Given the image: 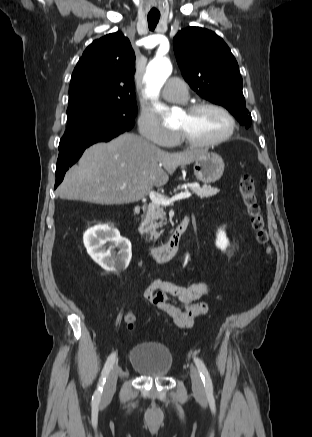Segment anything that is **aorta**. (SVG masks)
<instances>
[{
  "label": "aorta",
  "mask_w": 312,
  "mask_h": 437,
  "mask_svg": "<svg viewBox=\"0 0 312 437\" xmlns=\"http://www.w3.org/2000/svg\"><path fill=\"white\" fill-rule=\"evenodd\" d=\"M172 73V65L167 59L155 58L147 66L146 74L144 77L146 88L145 92L149 96L156 98L166 79ZM157 109H165V106L156 104ZM173 120V116L167 114L164 118L165 122Z\"/></svg>",
  "instance_id": "obj_1"
}]
</instances>
